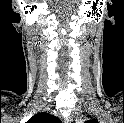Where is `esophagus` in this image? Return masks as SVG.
I'll use <instances>...</instances> for the list:
<instances>
[{
  "label": "esophagus",
  "mask_w": 124,
  "mask_h": 123,
  "mask_svg": "<svg viewBox=\"0 0 124 123\" xmlns=\"http://www.w3.org/2000/svg\"><path fill=\"white\" fill-rule=\"evenodd\" d=\"M66 122H67V123H74V121H73L72 118H68V119L66 120Z\"/></svg>",
  "instance_id": "1"
}]
</instances>
